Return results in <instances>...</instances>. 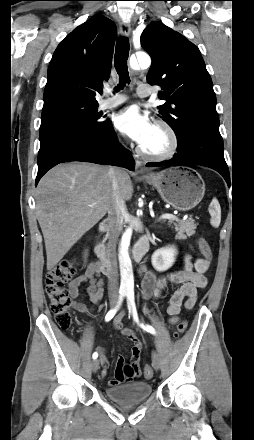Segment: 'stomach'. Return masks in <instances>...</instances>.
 Instances as JSON below:
<instances>
[{
	"label": "stomach",
	"mask_w": 254,
	"mask_h": 440,
	"mask_svg": "<svg viewBox=\"0 0 254 440\" xmlns=\"http://www.w3.org/2000/svg\"><path fill=\"white\" fill-rule=\"evenodd\" d=\"M142 179L154 186L162 199L179 211L196 207L205 193V183L201 175L191 168H168L143 176Z\"/></svg>",
	"instance_id": "0dacf381"
}]
</instances>
